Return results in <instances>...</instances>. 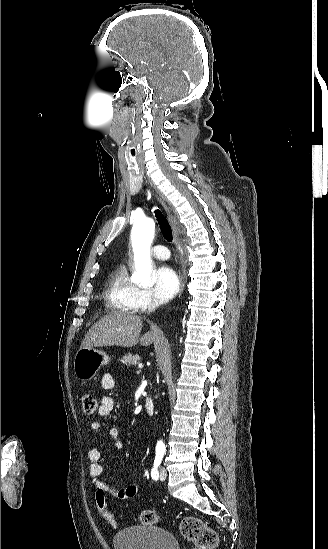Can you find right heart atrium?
Returning <instances> with one entry per match:
<instances>
[{
    "label": "right heart atrium",
    "mask_w": 328,
    "mask_h": 549,
    "mask_svg": "<svg viewBox=\"0 0 328 549\" xmlns=\"http://www.w3.org/2000/svg\"><path fill=\"white\" fill-rule=\"evenodd\" d=\"M142 296L145 303H162L161 299L152 289L142 290Z\"/></svg>",
    "instance_id": "1"
}]
</instances>
